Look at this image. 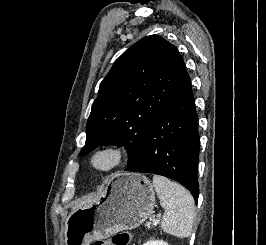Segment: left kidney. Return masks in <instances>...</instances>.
<instances>
[{
	"mask_svg": "<svg viewBox=\"0 0 266 245\" xmlns=\"http://www.w3.org/2000/svg\"><path fill=\"white\" fill-rule=\"evenodd\" d=\"M144 245H168L165 241H147Z\"/></svg>",
	"mask_w": 266,
	"mask_h": 245,
	"instance_id": "5707ae66",
	"label": "left kidney"
}]
</instances>
